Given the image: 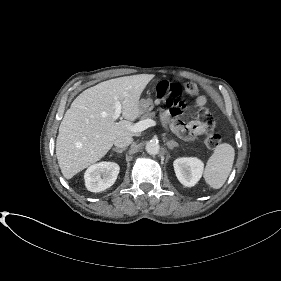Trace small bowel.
I'll use <instances>...</instances> for the list:
<instances>
[{
	"label": "small bowel",
	"mask_w": 281,
	"mask_h": 281,
	"mask_svg": "<svg viewBox=\"0 0 281 281\" xmlns=\"http://www.w3.org/2000/svg\"><path fill=\"white\" fill-rule=\"evenodd\" d=\"M195 104L200 108H204L206 105V97L203 95L197 96L195 99ZM160 117L164 124H166L175 134L182 138L193 139L203 133L198 121L184 123L179 119L172 117L169 110H161Z\"/></svg>",
	"instance_id": "1"
}]
</instances>
